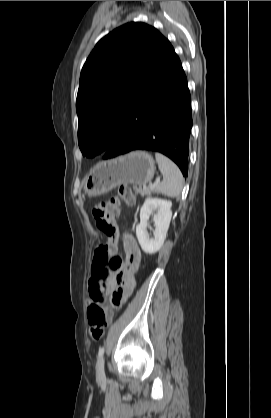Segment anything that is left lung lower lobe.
<instances>
[{"mask_svg": "<svg viewBox=\"0 0 271 418\" xmlns=\"http://www.w3.org/2000/svg\"><path fill=\"white\" fill-rule=\"evenodd\" d=\"M191 128L187 78L172 47L103 159L133 150L157 151L172 159L187 176Z\"/></svg>", "mask_w": 271, "mask_h": 418, "instance_id": "obj_1", "label": "left lung lower lobe"}]
</instances>
